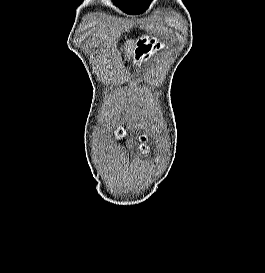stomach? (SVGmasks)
<instances>
[{
	"label": "stomach",
	"instance_id": "0dacf381",
	"mask_svg": "<svg viewBox=\"0 0 265 273\" xmlns=\"http://www.w3.org/2000/svg\"><path fill=\"white\" fill-rule=\"evenodd\" d=\"M165 45L157 37H140L134 47V58L137 62H144L154 56L158 51L164 49Z\"/></svg>",
	"mask_w": 265,
	"mask_h": 273
}]
</instances>
